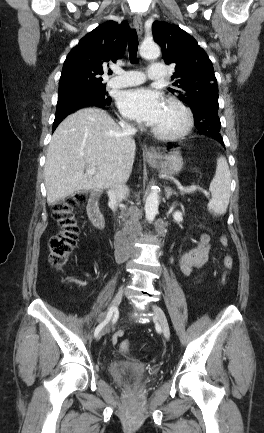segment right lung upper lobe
I'll use <instances>...</instances> for the list:
<instances>
[{"instance_id": "right-lung-upper-lobe-1", "label": "right lung upper lobe", "mask_w": 264, "mask_h": 433, "mask_svg": "<svg viewBox=\"0 0 264 433\" xmlns=\"http://www.w3.org/2000/svg\"><path fill=\"white\" fill-rule=\"evenodd\" d=\"M129 24L107 21L83 37L68 54L61 73L59 92L70 87L102 84L107 65L125 53Z\"/></svg>"}]
</instances>
